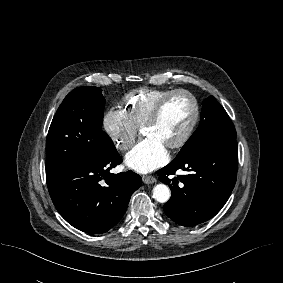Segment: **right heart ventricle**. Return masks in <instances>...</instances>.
<instances>
[{
  "label": "right heart ventricle",
  "mask_w": 283,
  "mask_h": 283,
  "mask_svg": "<svg viewBox=\"0 0 283 283\" xmlns=\"http://www.w3.org/2000/svg\"><path fill=\"white\" fill-rule=\"evenodd\" d=\"M171 91L170 89L160 88L132 90L121 101L123 111L137 128H142L155 104Z\"/></svg>",
  "instance_id": "right-heart-ventricle-1"
}]
</instances>
